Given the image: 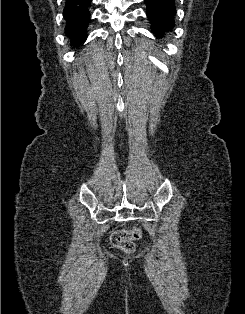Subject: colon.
<instances>
[{
	"label": "colon",
	"mask_w": 245,
	"mask_h": 314,
	"mask_svg": "<svg viewBox=\"0 0 245 314\" xmlns=\"http://www.w3.org/2000/svg\"><path fill=\"white\" fill-rule=\"evenodd\" d=\"M142 236L141 230L137 227H132L128 230L117 231L112 234L111 242L117 248L124 252L130 253L134 250V242Z\"/></svg>",
	"instance_id": "colon-1"
}]
</instances>
